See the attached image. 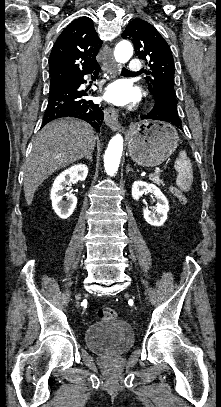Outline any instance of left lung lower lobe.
Instances as JSON below:
<instances>
[{"label":"left lung lower lobe","mask_w":221,"mask_h":407,"mask_svg":"<svg viewBox=\"0 0 221 407\" xmlns=\"http://www.w3.org/2000/svg\"><path fill=\"white\" fill-rule=\"evenodd\" d=\"M154 108L147 114L142 115L141 119H151L169 122L182 130V122L178 114L175 98L169 93L164 92L161 96L155 98Z\"/></svg>","instance_id":"left-lung-lower-lobe-1"}]
</instances>
